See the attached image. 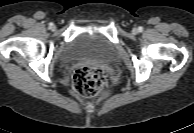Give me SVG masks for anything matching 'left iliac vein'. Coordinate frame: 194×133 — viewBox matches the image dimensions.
<instances>
[{
    "label": "left iliac vein",
    "mask_w": 194,
    "mask_h": 133,
    "mask_svg": "<svg viewBox=\"0 0 194 133\" xmlns=\"http://www.w3.org/2000/svg\"><path fill=\"white\" fill-rule=\"evenodd\" d=\"M138 32V30L136 29V28H134L133 30H132V33L133 34H136Z\"/></svg>",
    "instance_id": "left-iliac-vein-1"
}]
</instances>
